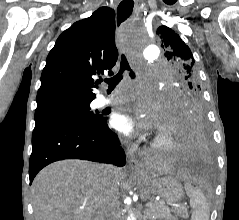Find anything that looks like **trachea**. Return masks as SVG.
Returning <instances> with one entry per match:
<instances>
[{
    "label": "trachea",
    "mask_w": 239,
    "mask_h": 220,
    "mask_svg": "<svg viewBox=\"0 0 239 220\" xmlns=\"http://www.w3.org/2000/svg\"><path fill=\"white\" fill-rule=\"evenodd\" d=\"M121 59H122V62L120 65L119 72L115 76H113L109 79H105V82L108 84V90H110V91L113 90L117 86V84L121 81L125 70L130 71L131 78H135V73L131 70L126 57L124 55H122Z\"/></svg>",
    "instance_id": "obj_1"
}]
</instances>
